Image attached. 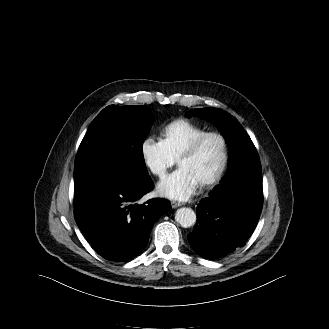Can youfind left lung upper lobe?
<instances>
[{
  "instance_id": "5c2ea615",
  "label": "left lung upper lobe",
  "mask_w": 329,
  "mask_h": 329,
  "mask_svg": "<svg viewBox=\"0 0 329 329\" xmlns=\"http://www.w3.org/2000/svg\"><path fill=\"white\" fill-rule=\"evenodd\" d=\"M199 116L203 119L213 121L220 129L223 136L226 138L230 147V161L229 167L225 177L220 185L210 194L212 198H219L222 196L223 181L230 177L231 174L238 167L246 166L255 160L259 161V157L253 142L248 136L247 132L240 125V123L233 116L227 112L217 108H200L194 109L187 114V117ZM260 162V161H259Z\"/></svg>"
}]
</instances>
